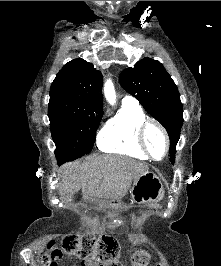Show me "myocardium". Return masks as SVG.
I'll return each instance as SVG.
<instances>
[{
	"mask_svg": "<svg viewBox=\"0 0 221 266\" xmlns=\"http://www.w3.org/2000/svg\"><path fill=\"white\" fill-rule=\"evenodd\" d=\"M150 127H155L164 138L165 148H164V153L160 158H157L152 155L148 147V144H147L146 134ZM138 142L141 148L143 149V151L148 155V157L155 161L163 160L167 156L169 149H170V139H169L167 131L158 121L154 119L146 118L144 121L141 122L138 128Z\"/></svg>",
	"mask_w": 221,
	"mask_h": 266,
	"instance_id": "obj_1",
	"label": "myocardium"
}]
</instances>
